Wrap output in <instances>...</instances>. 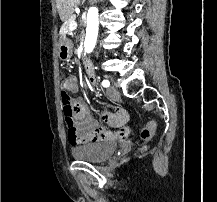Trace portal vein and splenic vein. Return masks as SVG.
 Segmentation results:
<instances>
[{
	"instance_id": "obj_1",
	"label": "portal vein and splenic vein",
	"mask_w": 217,
	"mask_h": 202,
	"mask_svg": "<svg viewBox=\"0 0 217 202\" xmlns=\"http://www.w3.org/2000/svg\"><path fill=\"white\" fill-rule=\"evenodd\" d=\"M76 14H80V12H76ZM73 22H74V20H73ZM74 26H77V24H75V22H74V24H71V28H74Z\"/></svg>"
}]
</instances>
